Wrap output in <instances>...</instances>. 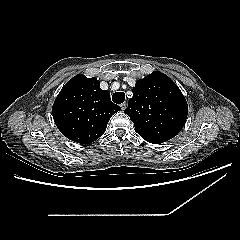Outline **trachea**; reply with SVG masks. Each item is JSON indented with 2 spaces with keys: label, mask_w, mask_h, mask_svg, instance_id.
Wrapping results in <instances>:
<instances>
[{
  "label": "trachea",
  "mask_w": 240,
  "mask_h": 240,
  "mask_svg": "<svg viewBox=\"0 0 240 240\" xmlns=\"http://www.w3.org/2000/svg\"><path fill=\"white\" fill-rule=\"evenodd\" d=\"M112 100H113V102H115L117 104L123 103L125 101V93H123V92L114 93L112 96Z\"/></svg>",
  "instance_id": "trachea-1"
}]
</instances>
